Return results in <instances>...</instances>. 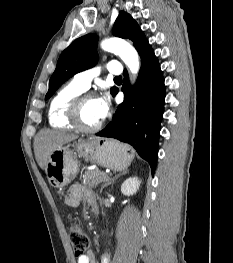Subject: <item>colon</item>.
<instances>
[{"label":"colon","instance_id":"5ec220e1","mask_svg":"<svg viewBox=\"0 0 233 263\" xmlns=\"http://www.w3.org/2000/svg\"><path fill=\"white\" fill-rule=\"evenodd\" d=\"M74 255L78 258L86 254L89 247V239L84 230L80 227L72 226L69 229Z\"/></svg>","mask_w":233,"mask_h":263}]
</instances>
